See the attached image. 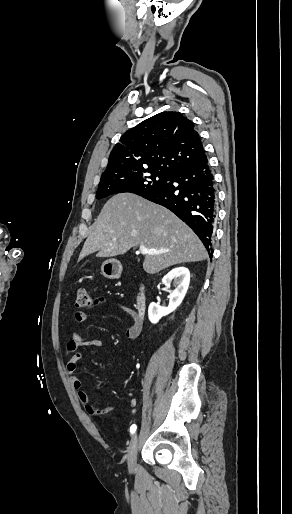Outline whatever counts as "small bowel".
Returning a JSON list of instances; mask_svg holds the SVG:
<instances>
[{"instance_id":"obj_1","label":"small bowel","mask_w":292,"mask_h":514,"mask_svg":"<svg viewBox=\"0 0 292 514\" xmlns=\"http://www.w3.org/2000/svg\"><path fill=\"white\" fill-rule=\"evenodd\" d=\"M108 304H110V301L106 297L97 296L91 300L90 307L97 308V307H101V306H106ZM119 308L123 312L128 314L133 320V324L126 328L125 334H126L127 338H129L131 341L134 342L139 338V336L141 334L142 321L139 322L137 320L136 311L133 310L131 307H129L125 304H119ZM87 318H88V313L86 311H77L74 314V320L77 323L84 322L85 320H87ZM87 347L102 349L104 347V344L102 341L97 340V339L85 340L80 335V333L77 329H73L70 332L69 340L67 341L66 346H65L66 354L69 356V359L66 363V371L69 375V381L71 383V386L78 393L79 400L83 404H85L83 406V409L86 412H89L90 416H93L94 415V412L92 411L93 405L91 403H88V400H89L88 394L85 391L81 390L82 382L80 381V379H78L76 376H74V372L77 370L78 362L82 358V354L79 350L82 348H87ZM126 396H129L128 397L129 404L131 406H134L136 404V401H135V397L132 395V393H126ZM108 409H109V406L102 407L101 409H97V412L106 414L108 412ZM110 409L112 411H115L117 409V406L115 404H112L110 406Z\"/></svg>"}]
</instances>
